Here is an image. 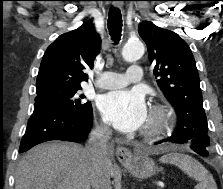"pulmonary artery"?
Here are the masks:
<instances>
[{
	"mask_svg": "<svg viewBox=\"0 0 223 189\" xmlns=\"http://www.w3.org/2000/svg\"><path fill=\"white\" fill-rule=\"evenodd\" d=\"M143 71L138 65H132L125 74L105 71L95 85L102 89L121 88L131 83L142 81Z\"/></svg>",
	"mask_w": 223,
	"mask_h": 189,
	"instance_id": "e3ab8cb5",
	"label": "pulmonary artery"
}]
</instances>
